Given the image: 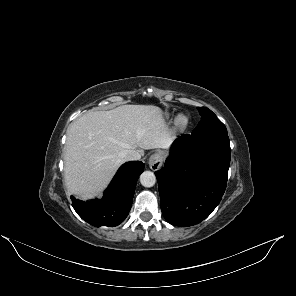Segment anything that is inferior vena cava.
Segmentation results:
<instances>
[{"label":"inferior vena cava","mask_w":296,"mask_h":296,"mask_svg":"<svg viewBox=\"0 0 296 296\" xmlns=\"http://www.w3.org/2000/svg\"><path fill=\"white\" fill-rule=\"evenodd\" d=\"M122 157L127 160H139L141 158V155L139 154V152L134 151V150H126L124 152H122Z\"/></svg>","instance_id":"602c4592"}]
</instances>
